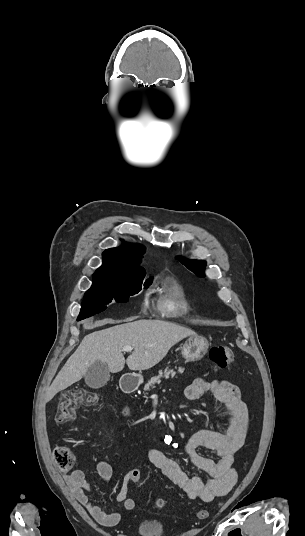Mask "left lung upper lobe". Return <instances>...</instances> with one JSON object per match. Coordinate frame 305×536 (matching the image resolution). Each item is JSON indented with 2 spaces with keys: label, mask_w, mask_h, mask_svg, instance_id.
<instances>
[{
  "label": "left lung upper lobe",
  "mask_w": 305,
  "mask_h": 536,
  "mask_svg": "<svg viewBox=\"0 0 305 536\" xmlns=\"http://www.w3.org/2000/svg\"><path fill=\"white\" fill-rule=\"evenodd\" d=\"M188 269H190L192 272H194L197 276L204 277V270L206 266V262L204 261H194V260H186L182 257H177Z\"/></svg>",
  "instance_id": "1"
}]
</instances>
